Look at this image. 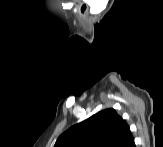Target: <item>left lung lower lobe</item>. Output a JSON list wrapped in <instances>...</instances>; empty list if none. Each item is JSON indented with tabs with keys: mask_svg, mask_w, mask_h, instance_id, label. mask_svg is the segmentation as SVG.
I'll use <instances>...</instances> for the list:
<instances>
[{
	"mask_svg": "<svg viewBox=\"0 0 163 147\" xmlns=\"http://www.w3.org/2000/svg\"><path fill=\"white\" fill-rule=\"evenodd\" d=\"M115 147H135L134 138L129 126L124 130Z\"/></svg>",
	"mask_w": 163,
	"mask_h": 147,
	"instance_id": "left-lung-lower-lobe-1",
	"label": "left lung lower lobe"
}]
</instances>
